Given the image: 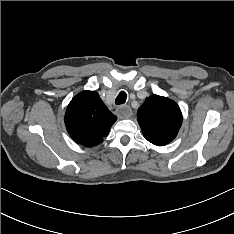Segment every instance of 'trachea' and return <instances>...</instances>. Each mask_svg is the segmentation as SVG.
I'll return each instance as SVG.
<instances>
[{
  "mask_svg": "<svg viewBox=\"0 0 234 234\" xmlns=\"http://www.w3.org/2000/svg\"><path fill=\"white\" fill-rule=\"evenodd\" d=\"M127 94L124 91H121L115 99V104L120 105L126 102Z\"/></svg>",
  "mask_w": 234,
  "mask_h": 234,
  "instance_id": "1",
  "label": "trachea"
}]
</instances>
